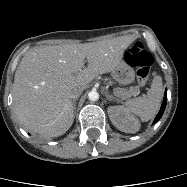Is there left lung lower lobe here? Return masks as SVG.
<instances>
[{"label":"left lung lower lobe","instance_id":"left-lung-lower-lobe-1","mask_svg":"<svg viewBox=\"0 0 187 187\" xmlns=\"http://www.w3.org/2000/svg\"><path fill=\"white\" fill-rule=\"evenodd\" d=\"M166 102H167V91H165L164 100H163L162 106H161V108H160L159 113H158L157 116L155 117L153 124H155L156 122H158V121L160 120V118L162 117L163 112H164L165 107H166Z\"/></svg>","mask_w":187,"mask_h":187}]
</instances>
